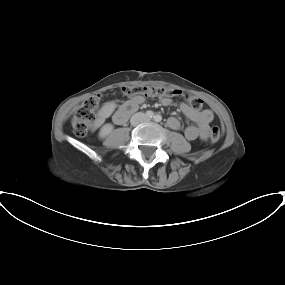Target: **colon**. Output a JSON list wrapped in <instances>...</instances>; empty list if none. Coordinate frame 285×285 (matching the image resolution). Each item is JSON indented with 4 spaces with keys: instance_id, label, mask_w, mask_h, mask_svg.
Wrapping results in <instances>:
<instances>
[{
    "instance_id": "colon-1",
    "label": "colon",
    "mask_w": 285,
    "mask_h": 285,
    "mask_svg": "<svg viewBox=\"0 0 285 285\" xmlns=\"http://www.w3.org/2000/svg\"><path fill=\"white\" fill-rule=\"evenodd\" d=\"M121 93L127 97H134L137 95L146 97L155 96H182L183 92L178 88H169L155 85H131L121 88ZM187 103L194 109L200 110L203 107V100L194 95H185ZM101 96L94 94L87 98L74 112L71 124L74 131L83 136L87 133L92 122L95 120L96 111L98 109ZM210 140L217 142L221 137V129L219 126H213L210 130Z\"/></svg>"
}]
</instances>
